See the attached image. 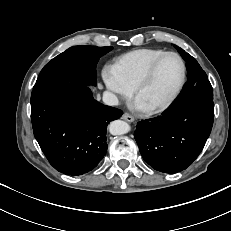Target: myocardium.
Instances as JSON below:
<instances>
[{"label": "myocardium", "mask_w": 231, "mask_h": 231, "mask_svg": "<svg viewBox=\"0 0 231 231\" xmlns=\"http://www.w3.org/2000/svg\"><path fill=\"white\" fill-rule=\"evenodd\" d=\"M169 56H174V57H176L180 61V64H181V77H180V81H179L177 87L174 89V91L165 100H163L159 104H156L154 106L148 107L146 109V111L149 112V113H157V112H160V111L166 109L167 107H169L174 102V100L179 96V94L181 93V91H182V89H183V87L185 85L186 76H187V68H186V63H185L184 59L181 57V55H179L176 52L167 51L164 54H162L159 57H157L149 65V67L143 73V75L141 76V78L135 84V86L133 88L134 95L136 97L139 95V93L142 91V89L152 79V77H153V75H154L157 67L162 62V60H164L166 57H169Z\"/></svg>", "instance_id": "f54148a6"}]
</instances>
